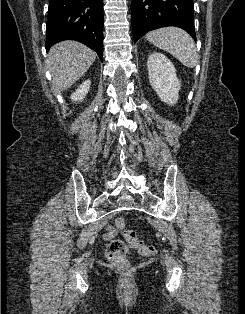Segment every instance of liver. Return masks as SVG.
I'll return each instance as SVG.
<instances>
[{
  "label": "liver",
  "instance_id": "1",
  "mask_svg": "<svg viewBox=\"0 0 245 314\" xmlns=\"http://www.w3.org/2000/svg\"><path fill=\"white\" fill-rule=\"evenodd\" d=\"M95 59L96 53L82 43L63 41L55 44L47 58L53 90L59 93L70 88Z\"/></svg>",
  "mask_w": 245,
  "mask_h": 314
}]
</instances>
